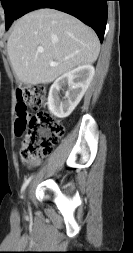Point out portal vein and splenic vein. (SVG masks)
<instances>
[{"mask_svg":"<svg viewBox=\"0 0 133 253\" xmlns=\"http://www.w3.org/2000/svg\"><path fill=\"white\" fill-rule=\"evenodd\" d=\"M37 51H38L39 53H43V52H44V49H43L42 47H38V48H37ZM50 64H51V65H55V63H54L53 61H50Z\"/></svg>","mask_w":133,"mask_h":253,"instance_id":"18ae733b","label":"portal vein and splenic vein"}]
</instances>
